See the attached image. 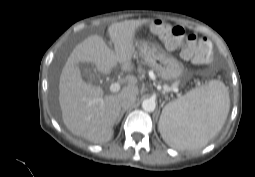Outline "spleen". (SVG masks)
I'll return each instance as SVG.
<instances>
[{"mask_svg":"<svg viewBox=\"0 0 255 177\" xmlns=\"http://www.w3.org/2000/svg\"><path fill=\"white\" fill-rule=\"evenodd\" d=\"M230 108L225 85L216 80L168 103L160 117L159 131L177 149L205 146L223 127Z\"/></svg>","mask_w":255,"mask_h":177,"instance_id":"3e777b00","label":"spleen"}]
</instances>
